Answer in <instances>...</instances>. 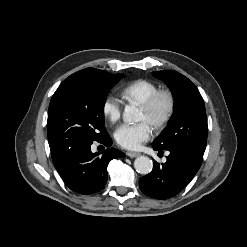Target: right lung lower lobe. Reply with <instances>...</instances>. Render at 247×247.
Here are the masks:
<instances>
[{
	"label": "right lung lower lobe",
	"mask_w": 247,
	"mask_h": 247,
	"mask_svg": "<svg viewBox=\"0 0 247 247\" xmlns=\"http://www.w3.org/2000/svg\"><path fill=\"white\" fill-rule=\"evenodd\" d=\"M98 142L109 147L102 156L91 152L92 143L72 145L52 154L56 170L71 190L92 194L103 189L107 182L108 163L113 158L125 156L120 150L110 148L112 140L108 134Z\"/></svg>",
	"instance_id": "obj_1"
}]
</instances>
